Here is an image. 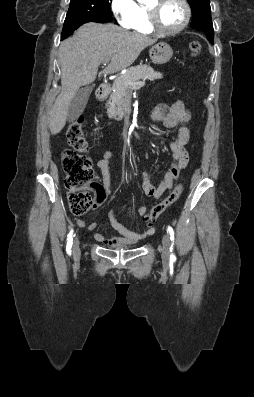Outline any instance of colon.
<instances>
[{"label":"colon","mask_w":254,"mask_h":397,"mask_svg":"<svg viewBox=\"0 0 254 397\" xmlns=\"http://www.w3.org/2000/svg\"><path fill=\"white\" fill-rule=\"evenodd\" d=\"M188 50L195 57L201 53L202 45L199 41L189 43ZM68 144L72 149L62 154L61 164L65 173V185L68 190V204L72 214L80 216L87 213L94 205L96 196L92 194L96 185L91 159L84 155L88 143L84 138V120L82 117L70 123L66 132ZM94 192V191H93ZM182 186L177 185L173 191L158 205L152 208L145 220H156L162 212L173 204L180 196Z\"/></svg>","instance_id":"obj_1"}]
</instances>
